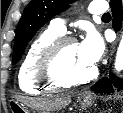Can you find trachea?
I'll return each mask as SVG.
<instances>
[{"label": "trachea", "mask_w": 123, "mask_h": 113, "mask_svg": "<svg viewBox=\"0 0 123 113\" xmlns=\"http://www.w3.org/2000/svg\"><path fill=\"white\" fill-rule=\"evenodd\" d=\"M102 18H111L110 13H105L102 15Z\"/></svg>", "instance_id": "3493384b"}]
</instances>
